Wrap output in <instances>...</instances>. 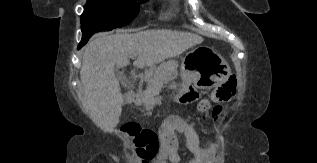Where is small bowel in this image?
I'll list each match as a JSON object with an SVG mask.
<instances>
[{"mask_svg": "<svg viewBox=\"0 0 317 163\" xmlns=\"http://www.w3.org/2000/svg\"><path fill=\"white\" fill-rule=\"evenodd\" d=\"M160 152L153 163H180L179 150L187 148L192 153L188 163H210L211 152L203 146L195 129L184 119L168 118L159 129Z\"/></svg>", "mask_w": 317, "mask_h": 163, "instance_id": "1", "label": "small bowel"}]
</instances>
